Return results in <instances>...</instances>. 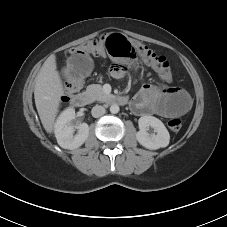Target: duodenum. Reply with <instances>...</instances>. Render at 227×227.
Masks as SVG:
<instances>
[{"mask_svg": "<svg viewBox=\"0 0 227 227\" xmlns=\"http://www.w3.org/2000/svg\"><path fill=\"white\" fill-rule=\"evenodd\" d=\"M90 94L88 92H80L76 94L71 103L75 107H83L90 102ZM113 101L119 105H125L127 103V98L124 96H116L113 98Z\"/></svg>", "mask_w": 227, "mask_h": 227, "instance_id": "obj_1", "label": "duodenum"}]
</instances>
